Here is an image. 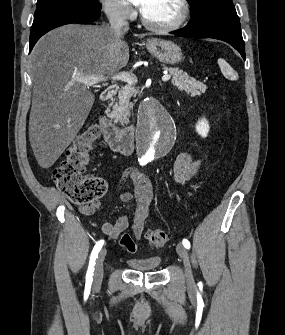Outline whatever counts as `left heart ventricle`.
I'll return each instance as SVG.
<instances>
[{
	"instance_id": "b2bd125f",
	"label": "left heart ventricle",
	"mask_w": 285,
	"mask_h": 335,
	"mask_svg": "<svg viewBox=\"0 0 285 335\" xmlns=\"http://www.w3.org/2000/svg\"><path fill=\"white\" fill-rule=\"evenodd\" d=\"M181 14L175 1H147L143 16L150 24L160 27L175 23Z\"/></svg>"
}]
</instances>
